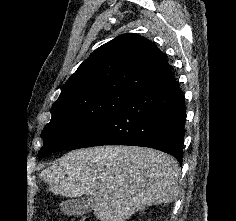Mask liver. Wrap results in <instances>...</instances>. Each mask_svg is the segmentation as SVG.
<instances>
[{
	"label": "liver",
	"mask_w": 236,
	"mask_h": 221,
	"mask_svg": "<svg viewBox=\"0 0 236 221\" xmlns=\"http://www.w3.org/2000/svg\"><path fill=\"white\" fill-rule=\"evenodd\" d=\"M180 167L170 155L145 147L101 146L71 151L43 170L55 195H88L100 221H125L153 204L173 202Z\"/></svg>",
	"instance_id": "6515ba94"
}]
</instances>
